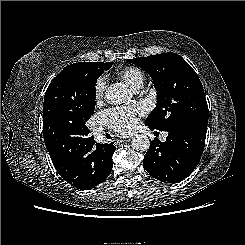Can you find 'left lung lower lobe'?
Wrapping results in <instances>:
<instances>
[{"instance_id":"0a47b994","label":"left lung lower lobe","mask_w":245,"mask_h":245,"mask_svg":"<svg viewBox=\"0 0 245 245\" xmlns=\"http://www.w3.org/2000/svg\"><path fill=\"white\" fill-rule=\"evenodd\" d=\"M148 127L154 130L153 127ZM206 131L207 123L193 122L168 131L165 142L155 138L144 156L145 170L163 182L178 183L184 180L200 161Z\"/></svg>"}]
</instances>
